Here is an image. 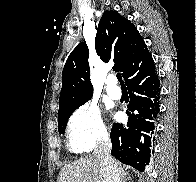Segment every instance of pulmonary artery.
Returning a JSON list of instances; mask_svg holds the SVG:
<instances>
[{
	"mask_svg": "<svg viewBox=\"0 0 196 182\" xmlns=\"http://www.w3.org/2000/svg\"><path fill=\"white\" fill-rule=\"evenodd\" d=\"M106 92L112 99L117 100V99L121 98L122 91H121L120 87L117 85L116 78H112V79L108 80Z\"/></svg>",
	"mask_w": 196,
	"mask_h": 182,
	"instance_id": "pulmonary-artery-1",
	"label": "pulmonary artery"
}]
</instances>
